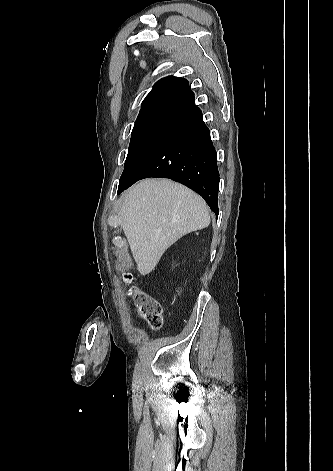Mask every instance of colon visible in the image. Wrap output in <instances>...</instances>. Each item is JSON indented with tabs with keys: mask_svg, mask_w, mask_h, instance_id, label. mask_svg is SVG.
I'll use <instances>...</instances> for the list:
<instances>
[{
	"mask_svg": "<svg viewBox=\"0 0 333 471\" xmlns=\"http://www.w3.org/2000/svg\"><path fill=\"white\" fill-rule=\"evenodd\" d=\"M132 296L142 318L152 329H159L162 326V307L160 303L140 291H134Z\"/></svg>",
	"mask_w": 333,
	"mask_h": 471,
	"instance_id": "1",
	"label": "colon"
}]
</instances>
